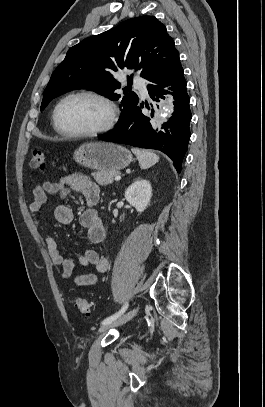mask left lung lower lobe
Returning a JSON list of instances; mask_svg holds the SVG:
<instances>
[{"label":"left lung lower lobe","instance_id":"1","mask_svg":"<svg viewBox=\"0 0 265 407\" xmlns=\"http://www.w3.org/2000/svg\"><path fill=\"white\" fill-rule=\"evenodd\" d=\"M149 81L148 93L155 102H159L161 98L164 99V94L170 93L163 88L169 87L174 92L170 94L174 96L175 110L172 117L163 125L162 130L156 133L152 129L150 118L142 113L143 105L140 104L112 132L100 135L98 138L103 141L160 150L172 159L175 168L180 172L188 149L189 124L192 118L189 106L190 97L186 91L187 82L181 63L179 62L173 67L167 75L151 78ZM146 107L149 108L148 105ZM151 115L153 116V112Z\"/></svg>","mask_w":265,"mask_h":407}]
</instances>
